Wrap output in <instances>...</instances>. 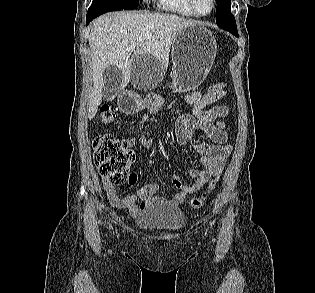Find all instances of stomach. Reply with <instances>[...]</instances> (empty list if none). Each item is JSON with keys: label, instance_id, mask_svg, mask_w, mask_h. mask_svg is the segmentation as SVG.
<instances>
[{"label": "stomach", "instance_id": "stomach-1", "mask_svg": "<svg viewBox=\"0 0 315 293\" xmlns=\"http://www.w3.org/2000/svg\"><path fill=\"white\" fill-rule=\"evenodd\" d=\"M216 40L205 26L194 24L180 30L172 46L173 73L171 87L175 92L197 88L207 77L216 56ZM119 110H140L145 103L156 112L163 100L155 94L138 96L137 92H120Z\"/></svg>", "mask_w": 315, "mask_h": 293}]
</instances>
